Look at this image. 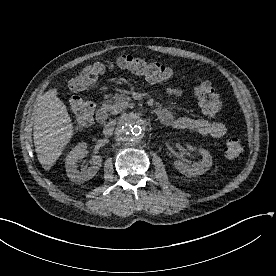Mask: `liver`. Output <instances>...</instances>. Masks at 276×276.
<instances>
[{"label":"liver","instance_id":"obj_1","mask_svg":"<svg viewBox=\"0 0 276 276\" xmlns=\"http://www.w3.org/2000/svg\"><path fill=\"white\" fill-rule=\"evenodd\" d=\"M57 94V89L48 90L33 110L35 151L45 170L56 163L74 134L68 109Z\"/></svg>","mask_w":276,"mask_h":276}]
</instances>
